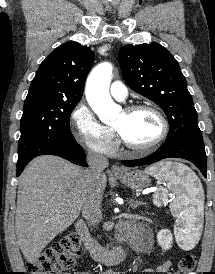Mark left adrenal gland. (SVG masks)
Wrapping results in <instances>:
<instances>
[{"mask_svg":"<svg viewBox=\"0 0 215 274\" xmlns=\"http://www.w3.org/2000/svg\"><path fill=\"white\" fill-rule=\"evenodd\" d=\"M142 203L139 201H133V199L130 200V206L132 207V209H136L139 205H141Z\"/></svg>","mask_w":215,"mask_h":274,"instance_id":"a2214340","label":"left adrenal gland"}]
</instances>
